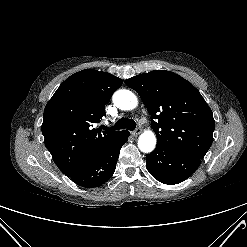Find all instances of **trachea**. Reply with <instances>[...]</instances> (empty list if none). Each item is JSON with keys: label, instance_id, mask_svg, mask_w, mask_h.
Listing matches in <instances>:
<instances>
[{"label": "trachea", "instance_id": "trachea-1", "mask_svg": "<svg viewBox=\"0 0 247 247\" xmlns=\"http://www.w3.org/2000/svg\"><path fill=\"white\" fill-rule=\"evenodd\" d=\"M135 128H136L135 121L128 118L119 119L114 126V129H128L131 131L134 130ZM105 129H107V127H105Z\"/></svg>", "mask_w": 247, "mask_h": 247}]
</instances>
